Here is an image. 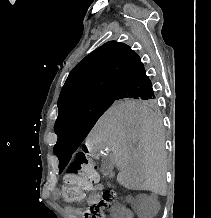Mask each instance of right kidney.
<instances>
[{"label": "right kidney", "instance_id": "1", "mask_svg": "<svg viewBox=\"0 0 211 218\" xmlns=\"http://www.w3.org/2000/svg\"><path fill=\"white\" fill-rule=\"evenodd\" d=\"M134 198L133 197H126L125 201H117V206H112L111 207V214L112 217L115 218H128L126 214H128V209L127 205L128 202H133Z\"/></svg>", "mask_w": 211, "mask_h": 218}]
</instances>
